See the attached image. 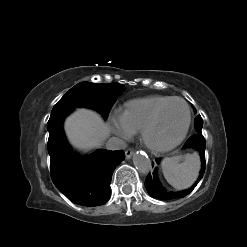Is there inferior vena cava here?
Wrapping results in <instances>:
<instances>
[{
  "instance_id": "obj_1",
  "label": "inferior vena cava",
  "mask_w": 247,
  "mask_h": 247,
  "mask_svg": "<svg viewBox=\"0 0 247 247\" xmlns=\"http://www.w3.org/2000/svg\"><path fill=\"white\" fill-rule=\"evenodd\" d=\"M126 143L124 140L118 138V137H111L107 143H106V148L108 150H120V149H125L126 148Z\"/></svg>"
}]
</instances>
